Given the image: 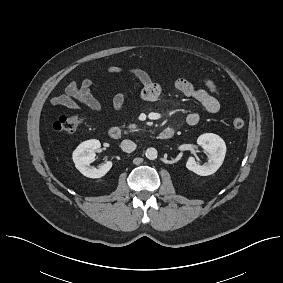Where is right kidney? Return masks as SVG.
<instances>
[{"label":"right kidney","instance_id":"obj_1","mask_svg":"<svg viewBox=\"0 0 283 283\" xmlns=\"http://www.w3.org/2000/svg\"><path fill=\"white\" fill-rule=\"evenodd\" d=\"M101 146L99 140L92 139L82 142L73 152V161L76 168L86 177L101 178L112 167V162L108 161L99 168L90 167V163L95 160V151Z\"/></svg>","mask_w":283,"mask_h":283}]
</instances>
